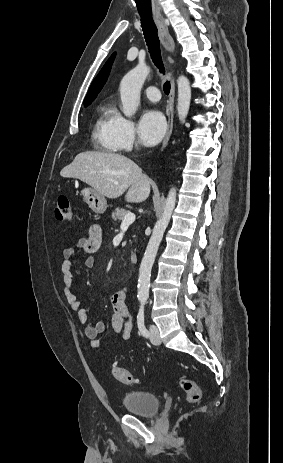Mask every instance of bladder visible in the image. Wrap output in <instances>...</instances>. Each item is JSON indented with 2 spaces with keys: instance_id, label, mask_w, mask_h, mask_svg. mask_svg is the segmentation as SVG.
<instances>
[{
  "instance_id": "bladder-1",
  "label": "bladder",
  "mask_w": 283,
  "mask_h": 463,
  "mask_svg": "<svg viewBox=\"0 0 283 463\" xmlns=\"http://www.w3.org/2000/svg\"><path fill=\"white\" fill-rule=\"evenodd\" d=\"M122 405L126 412L142 417H155L161 408L160 398L143 391H128L124 394Z\"/></svg>"
}]
</instances>
